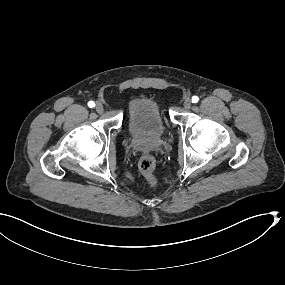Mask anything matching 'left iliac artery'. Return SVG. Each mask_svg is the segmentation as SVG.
Wrapping results in <instances>:
<instances>
[{"label":"left iliac artery","mask_w":285,"mask_h":285,"mask_svg":"<svg viewBox=\"0 0 285 285\" xmlns=\"http://www.w3.org/2000/svg\"><path fill=\"white\" fill-rule=\"evenodd\" d=\"M199 101V98L197 96L192 97V103H197Z\"/></svg>","instance_id":"1"}]
</instances>
